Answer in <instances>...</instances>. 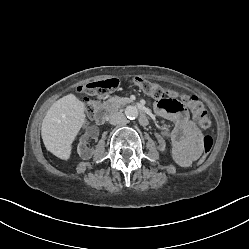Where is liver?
Returning <instances> with one entry per match:
<instances>
[{"label":"liver","instance_id":"1","mask_svg":"<svg viewBox=\"0 0 249 249\" xmlns=\"http://www.w3.org/2000/svg\"><path fill=\"white\" fill-rule=\"evenodd\" d=\"M85 105L74 95L52 104L43 119L41 135L46 149L62 160H69L72 143L85 123Z\"/></svg>","mask_w":249,"mask_h":249}]
</instances>
